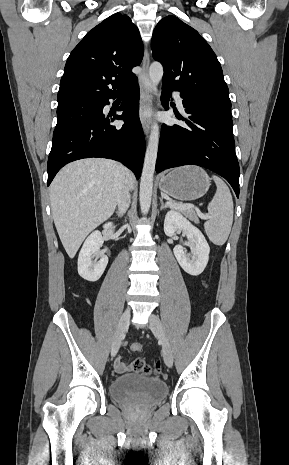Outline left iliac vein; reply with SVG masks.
<instances>
[{
  "instance_id": "1",
  "label": "left iliac vein",
  "mask_w": 289,
  "mask_h": 465,
  "mask_svg": "<svg viewBox=\"0 0 289 465\" xmlns=\"http://www.w3.org/2000/svg\"><path fill=\"white\" fill-rule=\"evenodd\" d=\"M150 329L152 332L161 340L162 342V347H163V358L165 361V364L168 367H172L173 365V352L170 346V343L168 341V338L165 334L163 325L159 319L158 316L155 314L150 315V321H149Z\"/></svg>"
}]
</instances>
